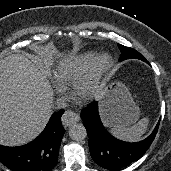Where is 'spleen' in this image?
Here are the masks:
<instances>
[{
  "instance_id": "obj_1",
  "label": "spleen",
  "mask_w": 171,
  "mask_h": 171,
  "mask_svg": "<svg viewBox=\"0 0 171 171\" xmlns=\"http://www.w3.org/2000/svg\"><path fill=\"white\" fill-rule=\"evenodd\" d=\"M149 119L142 118L135 125L131 127H113L110 129L111 133L124 141L137 142L142 139V136L148 129Z\"/></svg>"
}]
</instances>
